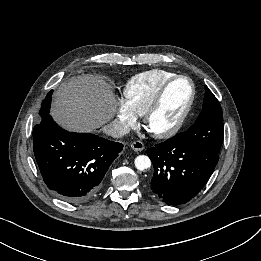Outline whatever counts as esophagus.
<instances>
[{
  "instance_id": "esophagus-1",
  "label": "esophagus",
  "mask_w": 261,
  "mask_h": 261,
  "mask_svg": "<svg viewBox=\"0 0 261 261\" xmlns=\"http://www.w3.org/2000/svg\"><path fill=\"white\" fill-rule=\"evenodd\" d=\"M131 148L136 152H140L144 149V144L141 141H134L131 144Z\"/></svg>"
}]
</instances>
